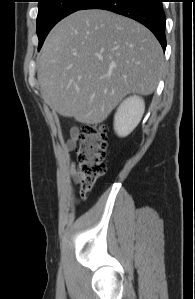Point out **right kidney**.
<instances>
[{
  "mask_svg": "<svg viewBox=\"0 0 195 299\" xmlns=\"http://www.w3.org/2000/svg\"><path fill=\"white\" fill-rule=\"evenodd\" d=\"M145 110L142 98L132 96L125 99L114 116V130L120 137L129 135L139 124Z\"/></svg>",
  "mask_w": 195,
  "mask_h": 299,
  "instance_id": "ca27d5eb",
  "label": "right kidney"
}]
</instances>
